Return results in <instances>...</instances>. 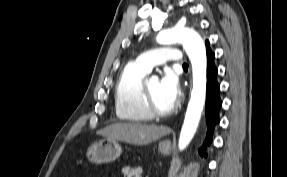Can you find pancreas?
Listing matches in <instances>:
<instances>
[{
	"label": "pancreas",
	"instance_id": "cf45deb5",
	"mask_svg": "<svg viewBox=\"0 0 287 177\" xmlns=\"http://www.w3.org/2000/svg\"><path fill=\"white\" fill-rule=\"evenodd\" d=\"M122 173L124 174V177H141L142 168L124 167Z\"/></svg>",
	"mask_w": 287,
	"mask_h": 177
}]
</instances>
